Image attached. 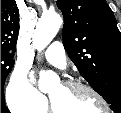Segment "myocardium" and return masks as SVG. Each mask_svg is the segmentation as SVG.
<instances>
[{
    "mask_svg": "<svg viewBox=\"0 0 121 113\" xmlns=\"http://www.w3.org/2000/svg\"><path fill=\"white\" fill-rule=\"evenodd\" d=\"M61 85L70 91L89 92V93L93 94L104 106L103 113H109L110 106H109L108 101L105 99V97L103 95H101L93 87L86 85L84 83H79V82H74V81L63 82ZM49 106H50V110L52 111V113H60L57 111V109L50 97H49Z\"/></svg>",
    "mask_w": 121,
    "mask_h": 113,
    "instance_id": "myocardium-1",
    "label": "myocardium"
}]
</instances>
